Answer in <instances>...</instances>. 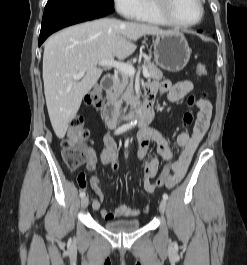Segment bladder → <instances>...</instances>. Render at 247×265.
<instances>
[{"mask_svg":"<svg viewBox=\"0 0 247 265\" xmlns=\"http://www.w3.org/2000/svg\"><path fill=\"white\" fill-rule=\"evenodd\" d=\"M103 227L113 233H129L141 227V221L138 219H121L107 221Z\"/></svg>","mask_w":247,"mask_h":265,"instance_id":"obj_1","label":"bladder"}]
</instances>
